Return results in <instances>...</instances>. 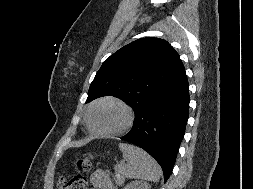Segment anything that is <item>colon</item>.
Instances as JSON below:
<instances>
[{
    "mask_svg": "<svg viewBox=\"0 0 253 189\" xmlns=\"http://www.w3.org/2000/svg\"><path fill=\"white\" fill-rule=\"evenodd\" d=\"M89 162L85 159H77L73 170L63 173L59 177V189H86L87 182L83 172L89 170Z\"/></svg>",
    "mask_w": 253,
    "mask_h": 189,
    "instance_id": "obj_1",
    "label": "colon"
}]
</instances>
